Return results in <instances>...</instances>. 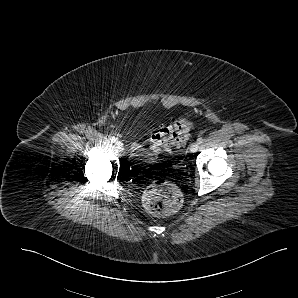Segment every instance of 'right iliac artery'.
Wrapping results in <instances>:
<instances>
[{
	"label": "right iliac artery",
	"instance_id": "1",
	"mask_svg": "<svg viewBox=\"0 0 298 298\" xmlns=\"http://www.w3.org/2000/svg\"><path fill=\"white\" fill-rule=\"evenodd\" d=\"M110 140H111V142L115 143L117 141V138L113 136L110 138Z\"/></svg>",
	"mask_w": 298,
	"mask_h": 298
}]
</instances>
